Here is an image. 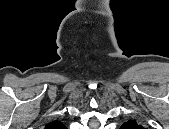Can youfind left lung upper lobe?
Returning a JSON list of instances; mask_svg holds the SVG:
<instances>
[{
    "mask_svg": "<svg viewBox=\"0 0 169 129\" xmlns=\"http://www.w3.org/2000/svg\"><path fill=\"white\" fill-rule=\"evenodd\" d=\"M121 129H143V127L135 120H128L121 126Z\"/></svg>",
    "mask_w": 169,
    "mask_h": 129,
    "instance_id": "5c2ea615",
    "label": "left lung upper lobe"
}]
</instances>
